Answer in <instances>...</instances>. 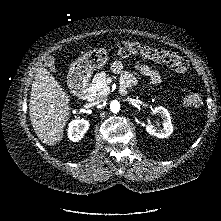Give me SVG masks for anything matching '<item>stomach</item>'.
<instances>
[{"label":"stomach","instance_id":"stomach-1","mask_svg":"<svg viewBox=\"0 0 221 221\" xmlns=\"http://www.w3.org/2000/svg\"><path fill=\"white\" fill-rule=\"evenodd\" d=\"M108 60L107 51L104 48L89 51L71 64L70 72L79 77L90 75L93 70L101 69Z\"/></svg>","mask_w":221,"mask_h":221}]
</instances>
